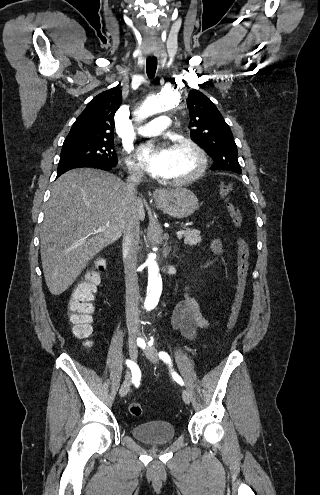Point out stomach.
<instances>
[{
  "label": "stomach",
  "mask_w": 320,
  "mask_h": 495,
  "mask_svg": "<svg viewBox=\"0 0 320 495\" xmlns=\"http://www.w3.org/2000/svg\"><path fill=\"white\" fill-rule=\"evenodd\" d=\"M156 205L171 217L185 218L198 209V199L192 191L176 188L164 190L161 197L156 199Z\"/></svg>",
  "instance_id": "stomach-1"
}]
</instances>
